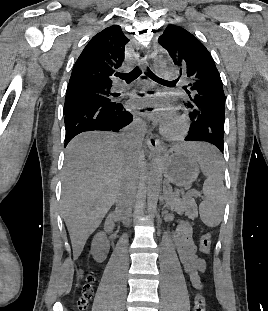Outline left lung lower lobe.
Returning a JSON list of instances; mask_svg holds the SVG:
<instances>
[{
  "label": "left lung lower lobe",
  "instance_id": "left-lung-lower-lobe-1",
  "mask_svg": "<svg viewBox=\"0 0 268 311\" xmlns=\"http://www.w3.org/2000/svg\"><path fill=\"white\" fill-rule=\"evenodd\" d=\"M217 106H207L202 114L192 119L190 130L185 138L188 140H205L223 152L224 150V116L225 102L220 101Z\"/></svg>",
  "mask_w": 268,
  "mask_h": 311
}]
</instances>
